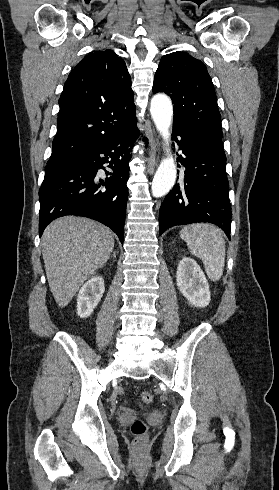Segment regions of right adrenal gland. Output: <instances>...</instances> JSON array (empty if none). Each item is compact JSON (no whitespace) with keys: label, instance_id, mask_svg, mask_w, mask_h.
I'll list each match as a JSON object with an SVG mask.
<instances>
[{"label":"right adrenal gland","instance_id":"right-adrenal-gland-1","mask_svg":"<svg viewBox=\"0 0 279 490\" xmlns=\"http://www.w3.org/2000/svg\"><path fill=\"white\" fill-rule=\"evenodd\" d=\"M110 258H116V252H113L112 256Z\"/></svg>","mask_w":279,"mask_h":490}]
</instances>
